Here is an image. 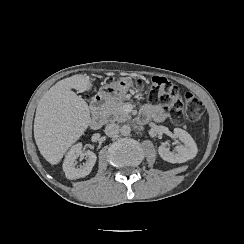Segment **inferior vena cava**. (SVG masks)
<instances>
[{"label":"inferior vena cava","instance_id":"1","mask_svg":"<svg viewBox=\"0 0 244 244\" xmlns=\"http://www.w3.org/2000/svg\"><path fill=\"white\" fill-rule=\"evenodd\" d=\"M119 133V125L110 123L105 127V134L109 137H115Z\"/></svg>","mask_w":244,"mask_h":244}]
</instances>
